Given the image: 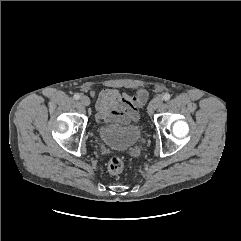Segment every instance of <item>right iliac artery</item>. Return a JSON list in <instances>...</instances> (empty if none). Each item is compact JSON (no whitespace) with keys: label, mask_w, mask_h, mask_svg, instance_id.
<instances>
[{"label":"right iliac artery","mask_w":241,"mask_h":241,"mask_svg":"<svg viewBox=\"0 0 241 241\" xmlns=\"http://www.w3.org/2000/svg\"><path fill=\"white\" fill-rule=\"evenodd\" d=\"M74 99L75 100H79L80 99V94H78V93L74 94Z\"/></svg>","instance_id":"right-iliac-artery-1"}]
</instances>
